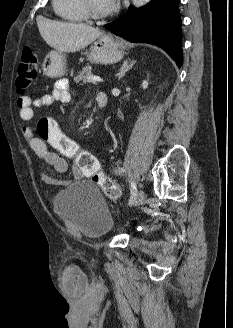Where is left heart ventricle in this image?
Wrapping results in <instances>:
<instances>
[{"instance_id": "1", "label": "left heart ventricle", "mask_w": 233, "mask_h": 328, "mask_svg": "<svg viewBox=\"0 0 233 328\" xmlns=\"http://www.w3.org/2000/svg\"><path fill=\"white\" fill-rule=\"evenodd\" d=\"M92 6L97 10H108L112 8L114 5L108 0H90Z\"/></svg>"}]
</instances>
